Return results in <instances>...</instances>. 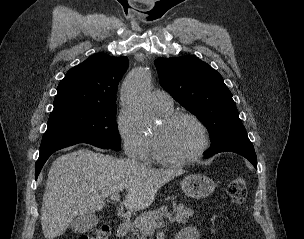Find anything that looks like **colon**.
<instances>
[{"label": "colon", "instance_id": "obj_1", "mask_svg": "<svg viewBox=\"0 0 304 239\" xmlns=\"http://www.w3.org/2000/svg\"><path fill=\"white\" fill-rule=\"evenodd\" d=\"M227 195L238 208L244 206L247 197V179L243 174H236L230 179L227 185ZM78 239H110V229L108 226L91 229Z\"/></svg>", "mask_w": 304, "mask_h": 239}]
</instances>
